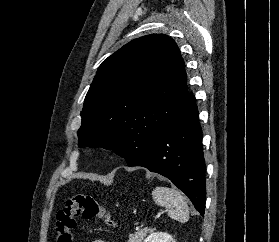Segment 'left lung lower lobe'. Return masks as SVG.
<instances>
[{
	"instance_id": "left-lung-lower-lobe-1",
	"label": "left lung lower lobe",
	"mask_w": 279,
	"mask_h": 242,
	"mask_svg": "<svg viewBox=\"0 0 279 242\" xmlns=\"http://www.w3.org/2000/svg\"><path fill=\"white\" fill-rule=\"evenodd\" d=\"M127 166H142L169 178L204 214L206 169L202 130L192 93L170 124Z\"/></svg>"
}]
</instances>
